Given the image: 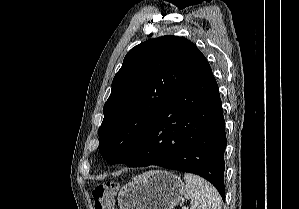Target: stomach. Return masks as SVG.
<instances>
[{"label": "stomach", "mask_w": 299, "mask_h": 209, "mask_svg": "<svg viewBox=\"0 0 299 209\" xmlns=\"http://www.w3.org/2000/svg\"><path fill=\"white\" fill-rule=\"evenodd\" d=\"M184 188L181 178L171 172L149 171L121 188L118 204L120 209H173Z\"/></svg>", "instance_id": "1"}]
</instances>
